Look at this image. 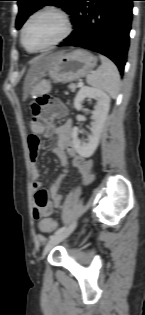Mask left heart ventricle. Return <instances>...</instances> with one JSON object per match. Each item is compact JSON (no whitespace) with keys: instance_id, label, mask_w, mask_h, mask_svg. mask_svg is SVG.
<instances>
[{"instance_id":"1","label":"left heart ventricle","mask_w":145,"mask_h":315,"mask_svg":"<svg viewBox=\"0 0 145 315\" xmlns=\"http://www.w3.org/2000/svg\"><path fill=\"white\" fill-rule=\"evenodd\" d=\"M62 32V24L52 15H41L30 21L25 32V42L37 48L56 39Z\"/></svg>"}]
</instances>
